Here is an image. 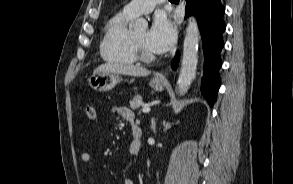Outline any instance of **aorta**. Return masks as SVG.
Returning a JSON list of instances; mask_svg holds the SVG:
<instances>
[{
	"instance_id": "obj_1",
	"label": "aorta",
	"mask_w": 293,
	"mask_h": 184,
	"mask_svg": "<svg viewBox=\"0 0 293 184\" xmlns=\"http://www.w3.org/2000/svg\"><path fill=\"white\" fill-rule=\"evenodd\" d=\"M147 26V21L143 18H139L130 26V29L143 30L146 29ZM199 39L200 33L198 24L195 18H192L186 28L181 69L177 80V89L180 95L188 91L191 83L196 77Z\"/></svg>"
}]
</instances>
